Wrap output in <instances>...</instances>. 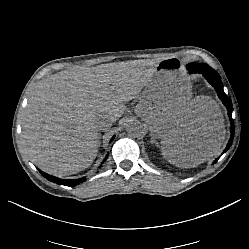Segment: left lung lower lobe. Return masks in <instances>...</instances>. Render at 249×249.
<instances>
[{
    "label": "left lung lower lobe",
    "mask_w": 249,
    "mask_h": 249,
    "mask_svg": "<svg viewBox=\"0 0 249 249\" xmlns=\"http://www.w3.org/2000/svg\"><path fill=\"white\" fill-rule=\"evenodd\" d=\"M202 74L205 77V79L215 88L218 97L220 98V100L223 102V104L226 106L228 110V116L230 118V123H231V129H230L231 136H230V140L228 141L226 148L223 151V153H225L230 148L232 141H233V136H234V126L232 123V106H231L228 96L225 94L223 90V84H222L219 74L211 67L210 69H205ZM217 161H218V158L214 160V163H216Z\"/></svg>",
    "instance_id": "0a47b994"
}]
</instances>
